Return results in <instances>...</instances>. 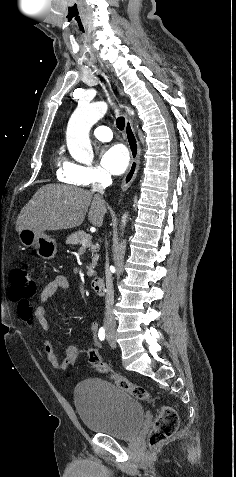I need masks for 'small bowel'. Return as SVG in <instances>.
Here are the masks:
<instances>
[{
  "label": "small bowel",
  "instance_id": "small-bowel-1",
  "mask_svg": "<svg viewBox=\"0 0 236 477\" xmlns=\"http://www.w3.org/2000/svg\"><path fill=\"white\" fill-rule=\"evenodd\" d=\"M70 284L69 280L64 275H56L54 276L42 289L39 295V304L37 307L32 310H27L25 313L21 314L18 312L22 321L30 326L33 327L34 325H38L42 330L49 331L50 326L47 318V307L46 302L49 298H51L58 290L69 289ZM90 331L93 335L94 340V347L88 350L80 346H67L64 350L65 356L63 359H60L58 356V348L57 345L51 341L46 340L44 342V353L45 356L50 363V365L58 370L63 371L68 368L74 367L80 357L81 354L87 353L88 351H93L96 354L98 352V342H97V332H98V324L96 322H92L90 324Z\"/></svg>",
  "mask_w": 236,
  "mask_h": 477
}]
</instances>
